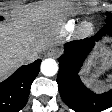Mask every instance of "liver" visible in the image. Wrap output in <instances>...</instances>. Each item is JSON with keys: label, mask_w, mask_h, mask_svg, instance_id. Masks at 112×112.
I'll use <instances>...</instances> for the list:
<instances>
[{"label": "liver", "mask_w": 112, "mask_h": 112, "mask_svg": "<svg viewBox=\"0 0 112 112\" xmlns=\"http://www.w3.org/2000/svg\"><path fill=\"white\" fill-rule=\"evenodd\" d=\"M67 13L61 4H32L23 7L13 23H0V81L23 64L21 53H40L54 44L52 29Z\"/></svg>", "instance_id": "6515ba94"}]
</instances>
